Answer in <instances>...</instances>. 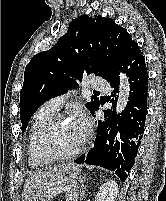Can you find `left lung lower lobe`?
<instances>
[{
	"label": "left lung lower lobe",
	"mask_w": 166,
	"mask_h": 201,
	"mask_svg": "<svg viewBox=\"0 0 166 201\" xmlns=\"http://www.w3.org/2000/svg\"><path fill=\"white\" fill-rule=\"evenodd\" d=\"M120 68L129 77L130 95L127 106L121 115H116V102L109 96L106 101L114 102L113 109L104 110L106 120L98 123L99 136L94 147L87 156H81L75 162L115 171L124 182L134 165L147 114L148 73L145 58L137 43L131 47ZM119 70L107 79L114 88L111 96L115 97L119 90ZM100 103L104 104L102 101Z\"/></svg>",
	"instance_id": "0a47b994"
}]
</instances>
